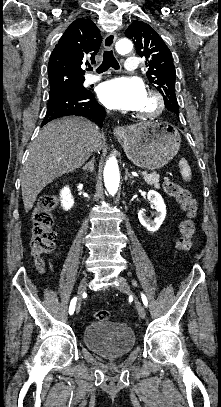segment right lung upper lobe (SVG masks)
<instances>
[{"mask_svg":"<svg viewBox=\"0 0 221 407\" xmlns=\"http://www.w3.org/2000/svg\"><path fill=\"white\" fill-rule=\"evenodd\" d=\"M100 31L90 19L79 18L66 29L50 55L48 77L51 87L84 81L82 65L95 61L101 44Z\"/></svg>","mask_w":221,"mask_h":407,"instance_id":"right-lung-upper-lobe-1","label":"right lung upper lobe"}]
</instances>
